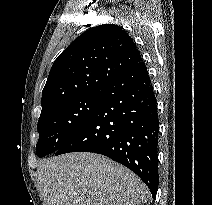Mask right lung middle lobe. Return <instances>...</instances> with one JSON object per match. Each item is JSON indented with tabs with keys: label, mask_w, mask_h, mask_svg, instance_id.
Wrapping results in <instances>:
<instances>
[{
	"label": "right lung middle lobe",
	"mask_w": 212,
	"mask_h": 205,
	"mask_svg": "<svg viewBox=\"0 0 212 205\" xmlns=\"http://www.w3.org/2000/svg\"><path fill=\"white\" fill-rule=\"evenodd\" d=\"M100 101L101 91L88 93L60 103L41 114L37 125V156L56 152L88 119Z\"/></svg>",
	"instance_id": "dd1d6c3e"
}]
</instances>
